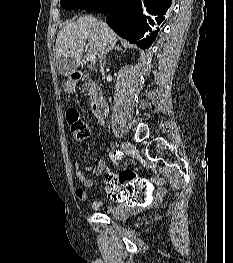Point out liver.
<instances>
[{"instance_id":"obj_1","label":"liver","mask_w":233,"mask_h":263,"mask_svg":"<svg viewBox=\"0 0 233 263\" xmlns=\"http://www.w3.org/2000/svg\"><path fill=\"white\" fill-rule=\"evenodd\" d=\"M117 41L115 32L104 22L92 16H83L67 24L58 33L55 54L56 61L63 58L61 73L70 75L79 65L86 42L89 54L98 56L103 45Z\"/></svg>"}]
</instances>
